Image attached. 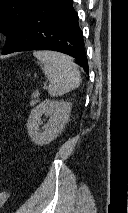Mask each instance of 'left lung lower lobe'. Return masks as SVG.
Returning <instances> with one entry per match:
<instances>
[{"mask_svg":"<svg viewBox=\"0 0 128 213\" xmlns=\"http://www.w3.org/2000/svg\"><path fill=\"white\" fill-rule=\"evenodd\" d=\"M53 50L68 54L88 73L82 31L72 0H38L10 46L3 51Z\"/></svg>","mask_w":128,"mask_h":213,"instance_id":"1","label":"left lung lower lobe"}]
</instances>
